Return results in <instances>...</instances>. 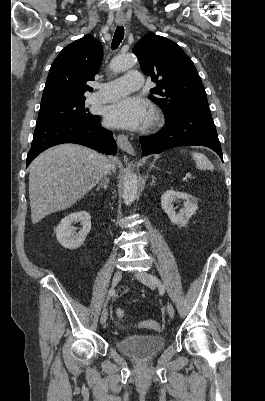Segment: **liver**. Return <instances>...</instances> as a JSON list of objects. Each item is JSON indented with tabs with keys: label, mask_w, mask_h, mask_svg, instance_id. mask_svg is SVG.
Returning <instances> with one entry per match:
<instances>
[{
	"label": "liver",
	"mask_w": 265,
	"mask_h": 401,
	"mask_svg": "<svg viewBox=\"0 0 265 401\" xmlns=\"http://www.w3.org/2000/svg\"><path fill=\"white\" fill-rule=\"evenodd\" d=\"M115 160H110L112 170H115ZM107 164L104 154L79 144H57L41 152L29 166L33 225L80 201L104 176Z\"/></svg>",
	"instance_id": "6515ba94"
}]
</instances>
